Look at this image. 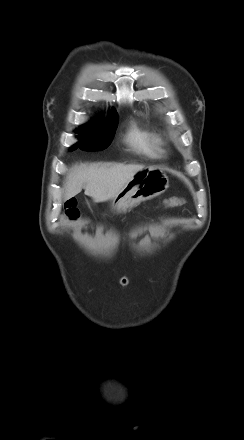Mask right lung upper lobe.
<instances>
[{
	"label": "right lung upper lobe",
	"instance_id": "cb5924a9",
	"mask_svg": "<svg viewBox=\"0 0 244 440\" xmlns=\"http://www.w3.org/2000/svg\"><path fill=\"white\" fill-rule=\"evenodd\" d=\"M117 123V115L113 116L112 118H110V120L106 123L107 126H111L113 124Z\"/></svg>",
	"mask_w": 244,
	"mask_h": 440
}]
</instances>
